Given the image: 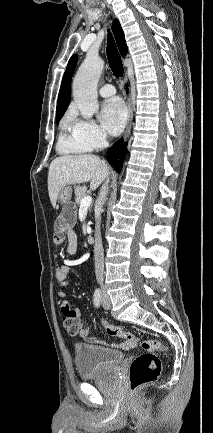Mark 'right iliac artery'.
Segmentation results:
<instances>
[{"label": "right iliac artery", "instance_id": "82829eb1", "mask_svg": "<svg viewBox=\"0 0 213 433\" xmlns=\"http://www.w3.org/2000/svg\"><path fill=\"white\" fill-rule=\"evenodd\" d=\"M101 290L100 289H96L94 292V296H93V303L96 307H99L102 299H101Z\"/></svg>", "mask_w": 213, "mask_h": 433}]
</instances>
